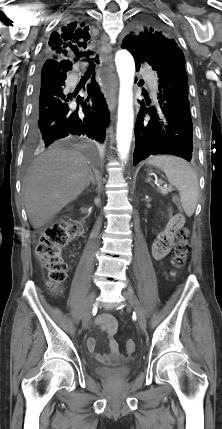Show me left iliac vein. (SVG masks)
Listing matches in <instances>:
<instances>
[{
	"label": "left iliac vein",
	"instance_id": "4c4485c4",
	"mask_svg": "<svg viewBox=\"0 0 222 429\" xmlns=\"http://www.w3.org/2000/svg\"><path fill=\"white\" fill-rule=\"evenodd\" d=\"M123 296L126 299L127 303L134 308L138 318L139 327L144 332L146 330V318L138 299L133 294L131 289L123 291Z\"/></svg>",
	"mask_w": 222,
	"mask_h": 429
}]
</instances>
